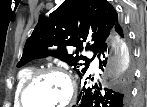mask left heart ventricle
<instances>
[{
	"label": "left heart ventricle",
	"mask_w": 147,
	"mask_h": 107,
	"mask_svg": "<svg viewBox=\"0 0 147 107\" xmlns=\"http://www.w3.org/2000/svg\"><path fill=\"white\" fill-rule=\"evenodd\" d=\"M69 84L60 75L40 77L28 90L26 100L30 107H57L69 97Z\"/></svg>",
	"instance_id": "left-heart-ventricle-1"
}]
</instances>
